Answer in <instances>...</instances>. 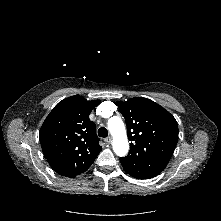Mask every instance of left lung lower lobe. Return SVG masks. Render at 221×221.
Wrapping results in <instances>:
<instances>
[{"label":"left lung lower lobe","mask_w":221,"mask_h":221,"mask_svg":"<svg viewBox=\"0 0 221 221\" xmlns=\"http://www.w3.org/2000/svg\"><path fill=\"white\" fill-rule=\"evenodd\" d=\"M120 162L124 170L137 179H149L155 177L166 167V165L159 163L138 164L124 158H120Z\"/></svg>","instance_id":"0a47b994"}]
</instances>
